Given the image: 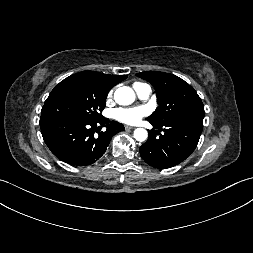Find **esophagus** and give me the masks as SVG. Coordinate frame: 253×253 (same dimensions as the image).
Instances as JSON below:
<instances>
[{
  "label": "esophagus",
  "instance_id": "1",
  "mask_svg": "<svg viewBox=\"0 0 253 253\" xmlns=\"http://www.w3.org/2000/svg\"><path fill=\"white\" fill-rule=\"evenodd\" d=\"M125 129L126 130H133V129H135V127H133V126H125Z\"/></svg>",
  "mask_w": 253,
  "mask_h": 253
}]
</instances>
